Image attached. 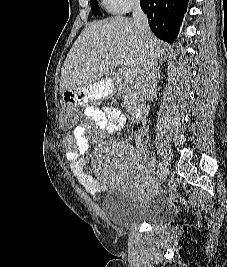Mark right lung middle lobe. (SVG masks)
Returning <instances> with one entry per match:
<instances>
[{
  "mask_svg": "<svg viewBox=\"0 0 227 267\" xmlns=\"http://www.w3.org/2000/svg\"><path fill=\"white\" fill-rule=\"evenodd\" d=\"M90 4H91V11L94 15H99L101 16L102 13L100 11V8L98 6L97 0H90Z\"/></svg>",
  "mask_w": 227,
  "mask_h": 267,
  "instance_id": "dd1d6c3e",
  "label": "right lung middle lobe"
}]
</instances>
